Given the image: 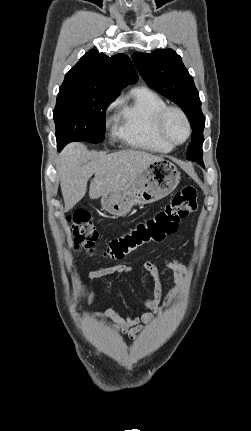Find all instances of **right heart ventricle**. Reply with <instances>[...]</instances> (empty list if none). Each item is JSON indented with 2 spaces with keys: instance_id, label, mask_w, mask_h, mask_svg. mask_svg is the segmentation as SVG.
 <instances>
[{
  "instance_id": "right-heart-ventricle-1",
  "label": "right heart ventricle",
  "mask_w": 251,
  "mask_h": 431,
  "mask_svg": "<svg viewBox=\"0 0 251 431\" xmlns=\"http://www.w3.org/2000/svg\"><path fill=\"white\" fill-rule=\"evenodd\" d=\"M166 102L154 91L139 87L119 103L115 136L128 145L155 153H169L173 147L164 143L155 128L158 113Z\"/></svg>"
}]
</instances>
